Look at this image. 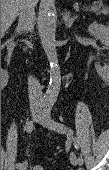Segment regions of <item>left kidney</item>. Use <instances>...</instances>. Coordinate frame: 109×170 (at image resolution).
Segmentation results:
<instances>
[{"label": "left kidney", "instance_id": "obj_1", "mask_svg": "<svg viewBox=\"0 0 109 170\" xmlns=\"http://www.w3.org/2000/svg\"><path fill=\"white\" fill-rule=\"evenodd\" d=\"M88 31L93 37L100 39L102 44H104L105 46H109L108 27L94 22L91 25H89ZM95 68H96L97 72L102 76H107L109 73V65L108 64H105L104 66H101L100 64H96Z\"/></svg>", "mask_w": 109, "mask_h": 170}]
</instances>
